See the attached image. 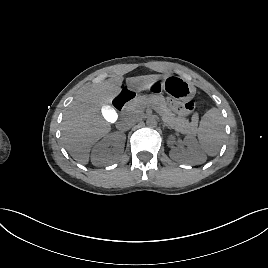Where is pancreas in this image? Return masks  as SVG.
I'll return each instance as SVG.
<instances>
[{
  "label": "pancreas",
  "instance_id": "1",
  "mask_svg": "<svg viewBox=\"0 0 268 268\" xmlns=\"http://www.w3.org/2000/svg\"><path fill=\"white\" fill-rule=\"evenodd\" d=\"M148 105L156 109L169 128L186 135L196 134L197 121L189 122L188 119L177 116L167 107L166 100L162 95L138 96L128 104V111L133 114H140Z\"/></svg>",
  "mask_w": 268,
  "mask_h": 268
}]
</instances>
